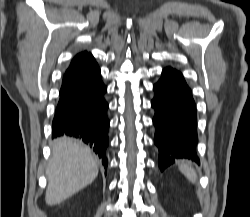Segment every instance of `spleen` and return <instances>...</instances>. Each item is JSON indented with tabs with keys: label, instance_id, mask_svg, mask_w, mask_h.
<instances>
[{
	"label": "spleen",
	"instance_id": "1",
	"mask_svg": "<svg viewBox=\"0 0 250 217\" xmlns=\"http://www.w3.org/2000/svg\"><path fill=\"white\" fill-rule=\"evenodd\" d=\"M179 169L185 174V176L191 180L193 183L197 182V175L193 168L188 162H181L179 164Z\"/></svg>",
	"mask_w": 250,
	"mask_h": 217
}]
</instances>
